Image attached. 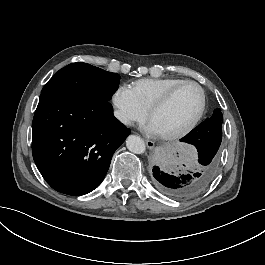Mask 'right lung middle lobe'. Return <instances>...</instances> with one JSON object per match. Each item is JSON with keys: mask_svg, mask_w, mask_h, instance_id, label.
Wrapping results in <instances>:
<instances>
[{"mask_svg": "<svg viewBox=\"0 0 265 265\" xmlns=\"http://www.w3.org/2000/svg\"><path fill=\"white\" fill-rule=\"evenodd\" d=\"M119 75L78 62L58 71L44 86L41 95L60 94L76 98L110 100L119 85Z\"/></svg>", "mask_w": 265, "mask_h": 265, "instance_id": "right-lung-middle-lobe-1", "label": "right lung middle lobe"}]
</instances>
